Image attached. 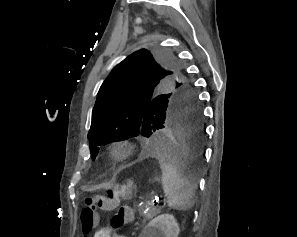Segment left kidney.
Returning <instances> with one entry per match:
<instances>
[{"label": "left kidney", "mask_w": 297, "mask_h": 237, "mask_svg": "<svg viewBox=\"0 0 297 237\" xmlns=\"http://www.w3.org/2000/svg\"><path fill=\"white\" fill-rule=\"evenodd\" d=\"M179 225L171 214H161L146 226L143 237H178Z\"/></svg>", "instance_id": "1"}]
</instances>
